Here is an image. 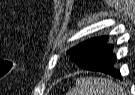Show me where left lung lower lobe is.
Returning <instances> with one entry per match:
<instances>
[{
  "instance_id": "1",
  "label": "left lung lower lobe",
  "mask_w": 135,
  "mask_h": 95,
  "mask_svg": "<svg viewBox=\"0 0 135 95\" xmlns=\"http://www.w3.org/2000/svg\"><path fill=\"white\" fill-rule=\"evenodd\" d=\"M106 42L107 39L90 54L82 67L87 70L103 72L115 78L122 79L120 71L114 69L116 56L112 53L113 45L107 44Z\"/></svg>"
}]
</instances>
